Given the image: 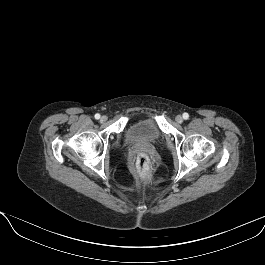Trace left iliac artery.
<instances>
[{
  "label": "left iliac artery",
  "mask_w": 265,
  "mask_h": 265,
  "mask_svg": "<svg viewBox=\"0 0 265 265\" xmlns=\"http://www.w3.org/2000/svg\"><path fill=\"white\" fill-rule=\"evenodd\" d=\"M183 118H184L185 120H187V119L189 118V114H188V113H184V114H183Z\"/></svg>",
  "instance_id": "obj_1"
}]
</instances>
